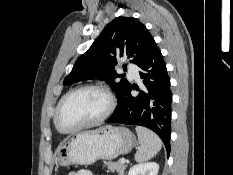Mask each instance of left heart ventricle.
Segmentation results:
<instances>
[{"mask_svg": "<svg viewBox=\"0 0 233 175\" xmlns=\"http://www.w3.org/2000/svg\"><path fill=\"white\" fill-rule=\"evenodd\" d=\"M107 98L97 90H83L69 96L62 104L58 122L63 129L75 128L103 113Z\"/></svg>", "mask_w": 233, "mask_h": 175, "instance_id": "b2bd125f", "label": "left heart ventricle"}]
</instances>
